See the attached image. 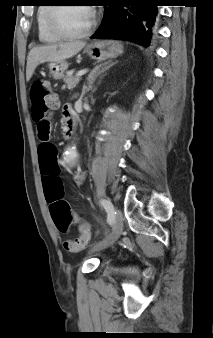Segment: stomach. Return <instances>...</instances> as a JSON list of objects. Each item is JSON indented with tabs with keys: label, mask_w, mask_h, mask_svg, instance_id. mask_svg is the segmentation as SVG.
Returning a JSON list of instances; mask_svg holds the SVG:
<instances>
[{
	"label": "stomach",
	"mask_w": 213,
	"mask_h": 338,
	"mask_svg": "<svg viewBox=\"0 0 213 338\" xmlns=\"http://www.w3.org/2000/svg\"><path fill=\"white\" fill-rule=\"evenodd\" d=\"M123 46L114 41H95L85 47V53L96 61H103L115 58L122 54ZM68 64L65 61L49 62L48 68L53 79H61L67 69Z\"/></svg>",
	"instance_id": "stomach-1"
}]
</instances>
